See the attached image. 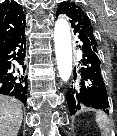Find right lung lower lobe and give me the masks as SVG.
<instances>
[{
  "label": "right lung lower lobe",
  "mask_w": 117,
  "mask_h": 136,
  "mask_svg": "<svg viewBox=\"0 0 117 136\" xmlns=\"http://www.w3.org/2000/svg\"><path fill=\"white\" fill-rule=\"evenodd\" d=\"M25 20L7 41L0 46V94L14 96L24 104L27 101L25 76Z\"/></svg>",
  "instance_id": "98d812e1"
}]
</instances>
